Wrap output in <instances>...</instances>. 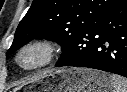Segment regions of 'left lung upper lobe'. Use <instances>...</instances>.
<instances>
[{"label":"left lung upper lobe","instance_id":"left-lung-upper-lobe-1","mask_svg":"<svg viewBox=\"0 0 127 92\" xmlns=\"http://www.w3.org/2000/svg\"><path fill=\"white\" fill-rule=\"evenodd\" d=\"M124 0H34L21 20L7 55L32 39L46 38L62 46V55L77 37Z\"/></svg>","mask_w":127,"mask_h":92}]
</instances>
